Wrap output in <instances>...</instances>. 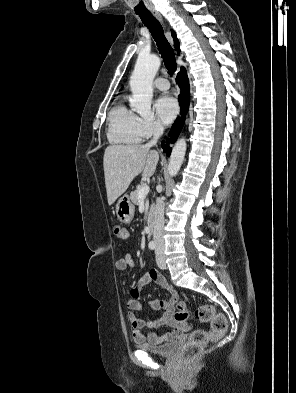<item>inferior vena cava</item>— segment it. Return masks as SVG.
I'll return each instance as SVG.
<instances>
[{
  "instance_id": "1",
  "label": "inferior vena cava",
  "mask_w": 296,
  "mask_h": 393,
  "mask_svg": "<svg viewBox=\"0 0 296 393\" xmlns=\"http://www.w3.org/2000/svg\"><path fill=\"white\" fill-rule=\"evenodd\" d=\"M163 131V126L159 123H155L153 125V138L146 145L149 147L156 145L159 137L163 134ZM164 207V201L160 198H157L153 223V239L155 241L156 247L161 249L164 248Z\"/></svg>"
}]
</instances>
